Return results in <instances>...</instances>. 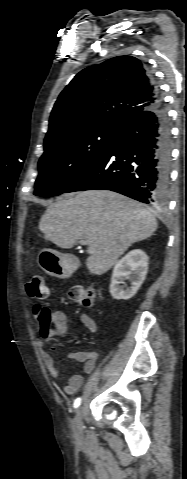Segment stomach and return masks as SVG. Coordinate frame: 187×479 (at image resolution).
<instances>
[{
    "instance_id": "0dacf381",
    "label": "stomach",
    "mask_w": 187,
    "mask_h": 479,
    "mask_svg": "<svg viewBox=\"0 0 187 479\" xmlns=\"http://www.w3.org/2000/svg\"><path fill=\"white\" fill-rule=\"evenodd\" d=\"M38 264L47 274L57 278L64 279L72 273L68 256L55 250H41L38 255Z\"/></svg>"
}]
</instances>
